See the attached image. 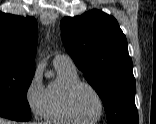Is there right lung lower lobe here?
<instances>
[{
  "instance_id": "1",
  "label": "right lung lower lobe",
  "mask_w": 156,
  "mask_h": 124,
  "mask_svg": "<svg viewBox=\"0 0 156 124\" xmlns=\"http://www.w3.org/2000/svg\"><path fill=\"white\" fill-rule=\"evenodd\" d=\"M0 117L15 121H28L31 119L30 113L6 107H0Z\"/></svg>"
}]
</instances>
